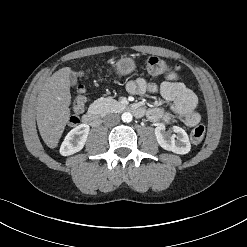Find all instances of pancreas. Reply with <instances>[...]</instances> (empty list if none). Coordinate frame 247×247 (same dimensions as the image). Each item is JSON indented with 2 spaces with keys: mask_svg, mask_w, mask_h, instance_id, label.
Returning a JSON list of instances; mask_svg holds the SVG:
<instances>
[{
  "mask_svg": "<svg viewBox=\"0 0 247 247\" xmlns=\"http://www.w3.org/2000/svg\"><path fill=\"white\" fill-rule=\"evenodd\" d=\"M93 105L101 114L118 111L124 107L120 102L110 97L99 98L94 101Z\"/></svg>",
  "mask_w": 247,
  "mask_h": 247,
  "instance_id": "pancreas-1",
  "label": "pancreas"
}]
</instances>
